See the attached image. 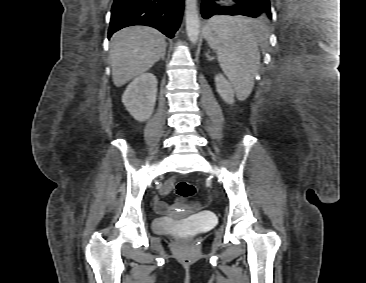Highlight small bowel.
Listing matches in <instances>:
<instances>
[{
  "instance_id": "obj_1",
  "label": "small bowel",
  "mask_w": 366,
  "mask_h": 283,
  "mask_svg": "<svg viewBox=\"0 0 366 283\" xmlns=\"http://www.w3.org/2000/svg\"><path fill=\"white\" fill-rule=\"evenodd\" d=\"M173 186H174V180L173 179L168 180L161 189L162 194L167 195L172 190ZM156 207L158 210L164 211L167 208V204L163 201L157 200Z\"/></svg>"
}]
</instances>
